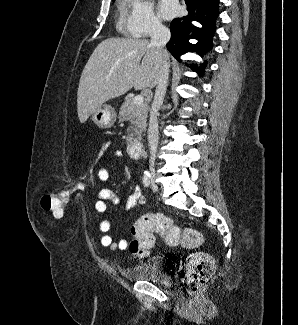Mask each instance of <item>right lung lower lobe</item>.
<instances>
[{
    "mask_svg": "<svg viewBox=\"0 0 298 325\" xmlns=\"http://www.w3.org/2000/svg\"><path fill=\"white\" fill-rule=\"evenodd\" d=\"M188 6V15L183 18H176L170 25L171 39L167 43V49L179 61L180 56L188 51H195L203 55L212 47V37L216 30L215 20L219 15L218 0H185ZM194 21L200 22L202 28L194 25ZM190 39H196L198 42L192 44ZM207 62L197 68L201 74Z\"/></svg>",
    "mask_w": 298,
    "mask_h": 325,
    "instance_id": "98d812e1",
    "label": "right lung lower lobe"
}]
</instances>
